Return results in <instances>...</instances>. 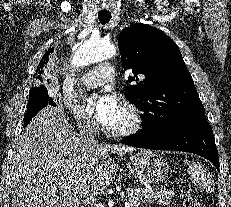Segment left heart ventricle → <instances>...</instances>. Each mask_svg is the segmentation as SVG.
I'll use <instances>...</instances> for the list:
<instances>
[{
  "label": "left heart ventricle",
  "mask_w": 231,
  "mask_h": 207,
  "mask_svg": "<svg viewBox=\"0 0 231 207\" xmlns=\"http://www.w3.org/2000/svg\"><path fill=\"white\" fill-rule=\"evenodd\" d=\"M131 123V117L129 112L122 106L119 113L116 115V117L106 125L107 128L112 130H120L123 128H126Z\"/></svg>",
  "instance_id": "left-heart-ventricle-1"
}]
</instances>
